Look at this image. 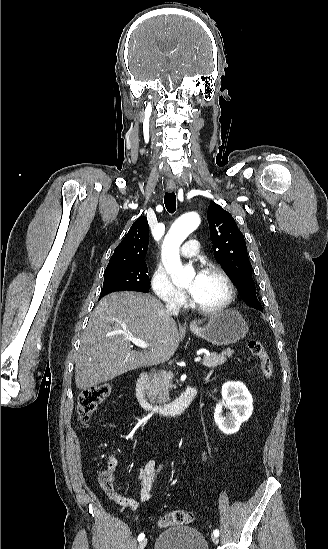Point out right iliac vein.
I'll return each mask as SVG.
<instances>
[{
    "label": "right iliac vein",
    "mask_w": 328,
    "mask_h": 549,
    "mask_svg": "<svg viewBox=\"0 0 328 549\" xmlns=\"http://www.w3.org/2000/svg\"><path fill=\"white\" fill-rule=\"evenodd\" d=\"M146 545H147V538L142 539L138 545V549H145Z\"/></svg>",
    "instance_id": "1"
}]
</instances>
